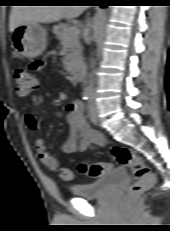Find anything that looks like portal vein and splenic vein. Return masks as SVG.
<instances>
[{"mask_svg": "<svg viewBox=\"0 0 170 231\" xmlns=\"http://www.w3.org/2000/svg\"><path fill=\"white\" fill-rule=\"evenodd\" d=\"M78 32H79L78 27H77L76 25H74V26H71V27L66 31L65 36H66V38H68L69 36L78 34Z\"/></svg>", "mask_w": 170, "mask_h": 231, "instance_id": "1", "label": "portal vein and splenic vein"}]
</instances>
